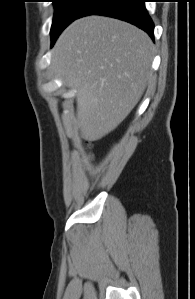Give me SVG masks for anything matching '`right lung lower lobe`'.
<instances>
[{
    "mask_svg": "<svg viewBox=\"0 0 195 299\" xmlns=\"http://www.w3.org/2000/svg\"><path fill=\"white\" fill-rule=\"evenodd\" d=\"M88 15H103L129 22L154 38V24L145 9L144 0H92L76 19Z\"/></svg>",
    "mask_w": 195,
    "mask_h": 299,
    "instance_id": "1",
    "label": "right lung lower lobe"
}]
</instances>
